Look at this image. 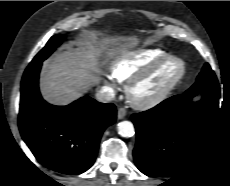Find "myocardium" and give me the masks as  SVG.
I'll return each mask as SVG.
<instances>
[{"mask_svg": "<svg viewBox=\"0 0 230 186\" xmlns=\"http://www.w3.org/2000/svg\"><path fill=\"white\" fill-rule=\"evenodd\" d=\"M167 62H175L178 66L176 74L155 94L140 98L135 94V89L145 80L153 76ZM186 73L185 63L173 55H165L148 68L136 73L127 80L125 93L129 102L136 108L149 109L164 101L180 83Z\"/></svg>", "mask_w": 230, "mask_h": 186, "instance_id": "obj_1", "label": "myocardium"}]
</instances>
